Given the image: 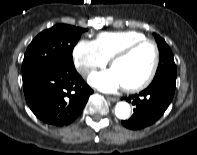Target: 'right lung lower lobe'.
I'll return each instance as SVG.
<instances>
[{
	"mask_svg": "<svg viewBox=\"0 0 197 155\" xmlns=\"http://www.w3.org/2000/svg\"><path fill=\"white\" fill-rule=\"evenodd\" d=\"M26 101L37 118L54 126L72 123L82 112L93 90L75 67L43 71L23 83Z\"/></svg>",
	"mask_w": 197,
	"mask_h": 155,
	"instance_id": "right-lung-lower-lobe-1",
	"label": "right lung lower lobe"
}]
</instances>
